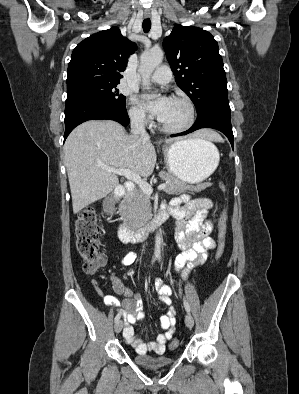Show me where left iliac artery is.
Here are the masks:
<instances>
[{
	"instance_id": "1",
	"label": "left iliac artery",
	"mask_w": 299,
	"mask_h": 394,
	"mask_svg": "<svg viewBox=\"0 0 299 394\" xmlns=\"http://www.w3.org/2000/svg\"><path fill=\"white\" fill-rule=\"evenodd\" d=\"M184 307H185L186 311L189 313L190 312V307H189L188 302L185 299H184Z\"/></svg>"
}]
</instances>
